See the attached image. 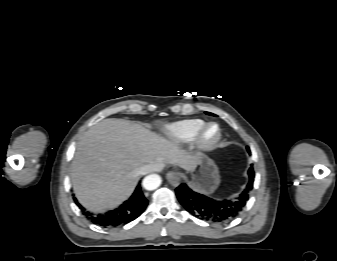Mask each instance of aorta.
I'll return each instance as SVG.
<instances>
[{
  "instance_id": "762f6f07",
  "label": "aorta",
  "mask_w": 337,
  "mask_h": 261,
  "mask_svg": "<svg viewBox=\"0 0 337 261\" xmlns=\"http://www.w3.org/2000/svg\"><path fill=\"white\" fill-rule=\"evenodd\" d=\"M142 184L146 190H155L161 184V177L157 174L148 175L143 179Z\"/></svg>"
}]
</instances>
